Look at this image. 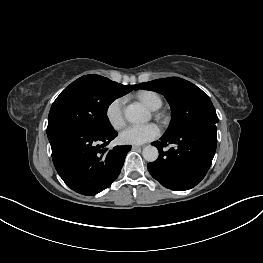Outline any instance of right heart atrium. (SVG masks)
<instances>
[{
	"mask_svg": "<svg viewBox=\"0 0 263 263\" xmlns=\"http://www.w3.org/2000/svg\"><path fill=\"white\" fill-rule=\"evenodd\" d=\"M105 116L114 129H121L125 125L124 98L117 97L109 102L105 109Z\"/></svg>",
	"mask_w": 263,
	"mask_h": 263,
	"instance_id": "obj_1",
	"label": "right heart atrium"
}]
</instances>
